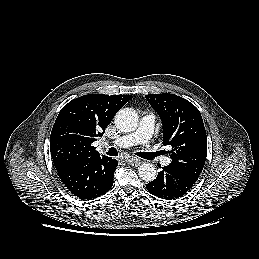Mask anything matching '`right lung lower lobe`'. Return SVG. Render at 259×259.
I'll return each mask as SVG.
<instances>
[{"label":"right lung lower lobe","instance_id":"obj_1","mask_svg":"<svg viewBox=\"0 0 259 259\" xmlns=\"http://www.w3.org/2000/svg\"><path fill=\"white\" fill-rule=\"evenodd\" d=\"M117 165L116 159L103 156L74 162L57 172L72 194L92 199L110 190Z\"/></svg>","mask_w":259,"mask_h":259}]
</instances>
